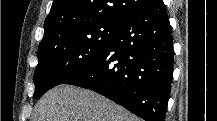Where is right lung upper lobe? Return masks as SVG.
Instances as JSON below:
<instances>
[{
    "instance_id": "1",
    "label": "right lung upper lobe",
    "mask_w": 217,
    "mask_h": 121,
    "mask_svg": "<svg viewBox=\"0 0 217 121\" xmlns=\"http://www.w3.org/2000/svg\"><path fill=\"white\" fill-rule=\"evenodd\" d=\"M151 0H54L39 47L72 30L99 22L121 23Z\"/></svg>"
}]
</instances>
